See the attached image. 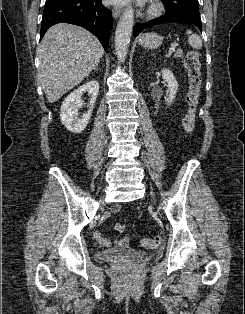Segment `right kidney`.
Masks as SVG:
<instances>
[{
	"label": "right kidney",
	"mask_w": 245,
	"mask_h": 314,
	"mask_svg": "<svg viewBox=\"0 0 245 314\" xmlns=\"http://www.w3.org/2000/svg\"><path fill=\"white\" fill-rule=\"evenodd\" d=\"M84 92L91 95L90 106L89 110L81 118H78V108L83 106L81 96ZM98 92L99 83L92 80L74 90L65 98L61 105L60 120L67 130L76 134L85 130L92 115Z\"/></svg>",
	"instance_id": "1"
}]
</instances>
